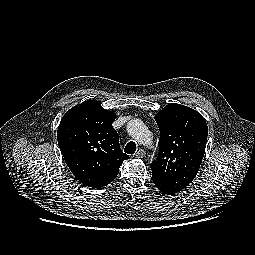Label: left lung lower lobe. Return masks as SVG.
I'll use <instances>...</instances> for the list:
<instances>
[{"instance_id": "1", "label": "left lung lower lobe", "mask_w": 255, "mask_h": 255, "mask_svg": "<svg viewBox=\"0 0 255 255\" xmlns=\"http://www.w3.org/2000/svg\"><path fill=\"white\" fill-rule=\"evenodd\" d=\"M156 187L161 191L163 192L164 194H167V195H173L175 194V192H173L172 190L168 189V188H165V187H162L161 185L157 184L156 182H154Z\"/></svg>"}]
</instances>
